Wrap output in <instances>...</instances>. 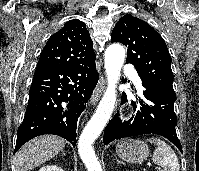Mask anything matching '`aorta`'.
Wrapping results in <instances>:
<instances>
[{"label": "aorta", "mask_w": 199, "mask_h": 171, "mask_svg": "<svg viewBox=\"0 0 199 171\" xmlns=\"http://www.w3.org/2000/svg\"><path fill=\"white\" fill-rule=\"evenodd\" d=\"M125 59V50L119 44L108 46L105 52V69L108 86L96 112L85 126L78 142V152L88 171H102L92 144L109 121L116 101V85Z\"/></svg>", "instance_id": "1"}]
</instances>
